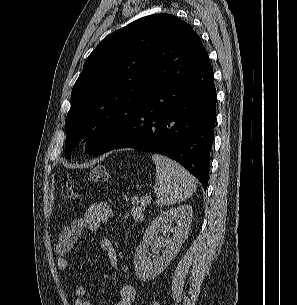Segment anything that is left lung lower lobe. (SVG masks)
Here are the masks:
<instances>
[{"instance_id":"left-lung-lower-lobe-1","label":"left lung lower lobe","mask_w":297,"mask_h":305,"mask_svg":"<svg viewBox=\"0 0 297 305\" xmlns=\"http://www.w3.org/2000/svg\"><path fill=\"white\" fill-rule=\"evenodd\" d=\"M211 64L162 84L101 154L134 148L166 155L183 165L207 188L216 119V89ZM100 155V154H99Z\"/></svg>"}]
</instances>
